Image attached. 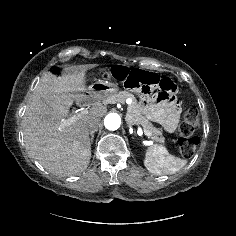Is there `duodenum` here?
I'll use <instances>...</instances> for the list:
<instances>
[{
  "mask_svg": "<svg viewBox=\"0 0 236 236\" xmlns=\"http://www.w3.org/2000/svg\"><path fill=\"white\" fill-rule=\"evenodd\" d=\"M83 103H84V100L81 99V100L79 101V104H83Z\"/></svg>",
  "mask_w": 236,
  "mask_h": 236,
  "instance_id": "1",
  "label": "duodenum"
}]
</instances>
